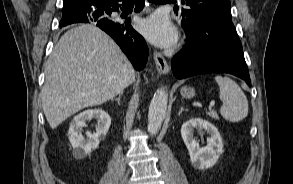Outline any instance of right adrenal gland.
I'll return each instance as SVG.
<instances>
[{"mask_svg": "<svg viewBox=\"0 0 293 184\" xmlns=\"http://www.w3.org/2000/svg\"><path fill=\"white\" fill-rule=\"evenodd\" d=\"M121 96H122V93L119 94L118 98L114 99V100L117 101L118 105H120V98H121Z\"/></svg>", "mask_w": 293, "mask_h": 184, "instance_id": "1", "label": "right adrenal gland"}]
</instances>
